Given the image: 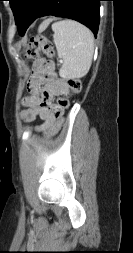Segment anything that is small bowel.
I'll return each mask as SVG.
<instances>
[{
  "instance_id": "small-bowel-1",
  "label": "small bowel",
  "mask_w": 133,
  "mask_h": 253,
  "mask_svg": "<svg viewBox=\"0 0 133 253\" xmlns=\"http://www.w3.org/2000/svg\"><path fill=\"white\" fill-rule=\"evenodd\" d=\"M46 59H39L34 65L33 74L27 83L29 95L22 100L24 109L21 112V118L24 122L31 123L39 116L42 123L31 129L53 135L58 132L62 124V114L54 113L56 104L53 100L55 97L69 95L70 91L68 83L55 76L52 56H47Z\"/></svg>"
}]
</instances>
